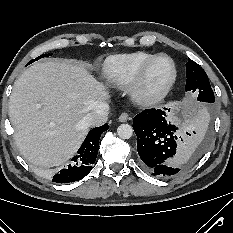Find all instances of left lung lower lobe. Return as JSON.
I'll return each mask as SVG.
<instances>
[{
  "instance_id": "obj_1",
  "label": "left lung lower lobe",
  "mask_w": 233,
  "mask_h": 233,
  "mask_svg": "<svg viewBox=\"0 0 233 233\" xmlns=\"http://www.w3.org/2000/svg\"><path fill=\"white\" fill-rule=\"evenodd\" d=\"M165 116L160 109L144 110L134 117L133 129L138 138V154L149 171L152 175L169 178L197 161L203 149L195 145L188 147L183 137L175 135V126L168 124Z\"/></svg>"
}]
</instances>
